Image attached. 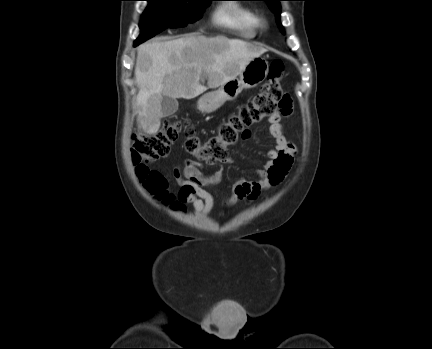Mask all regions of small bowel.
<instances>
[{
	"label": "small bowel",
	"instance_id": "small-bowel-1",
	"mask_svg": "<svg viewBox=\"0 0 432 349\" xmlns=\"http://www.w3.org/2000/svg\"><path fill=\"white\" fill-rule=\"evenodd\" d=\"M290 113L291 108L269 117V131L275 140V146L268 151L267 160L256 171V180L240 178L235 182L233 195L227 200L228 204L244 198H255L262 190L279 184L285 178L296 155V148L286 138L281 125V118ZM173 175L180 185V201L191 204L197 216H207L213 209L215 200L205 187L217 184L221 180V172L205 175L197 162L185 160L183 165L174 169Z\"/></svg>",
	"mask_w": 432,
	"mask_h": 349
}]
</instances>
